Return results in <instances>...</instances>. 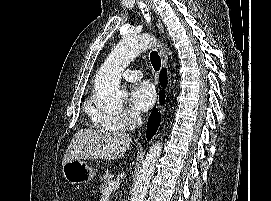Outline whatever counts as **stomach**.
I'll use <instances>...</instances> for the list:
<instances>
[{"mask_svg": "<svg viewBox=\"0 0 271 201\" xmlns=\"http://www.w3.org/2000/svg\"><path fill=\"white\" fill-rule=\"evenodd\" d=\"M63 176L71 184H81L92 180L96 172L82 160H73L63 165Z\"/></svg>", "mask_w": 271, "mask_h": 201, "instance_id": "0dacf381", "label": "stomach"}]
</instances>
